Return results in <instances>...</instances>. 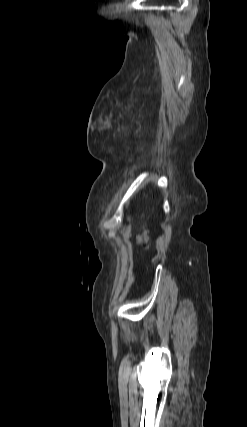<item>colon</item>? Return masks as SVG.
Segmentation results:
<instances>
[{
    "label": "colon",
    "mask_w": 247,
    "mask_h": 427,
    "mask_svg": "<svg viewBox=\"0 0 247 427\" xmlns=\"http://www.w3.org/2000/svg\"><path fill=\"white\" fill-rule=\"evenodd\" d=\"M147 238H148L147 232L145 230H143L141 232V234L139 235V237H138V242L140 244H143V243H145L147 241Z\"/></svg>",
    "instance_id": "5ec220e1"
}]
</instances>
